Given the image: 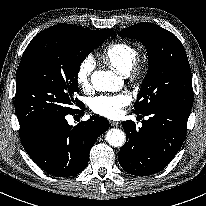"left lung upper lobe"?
<instances>
[{"mask_svg": "<svg viewBox=\"0 0 206 206\" xmlns=\"http://www.w3.org/2000/svg\"><path fill=\"white\" fill-rule=\"evenodd\" d=\"M119 36L138 38L147 48L149 69L134 104L145 114L157 105L192 108L193 88L189 61L180 40L153 23H138Z\"/></svg>", "mask_w": 206, "mask_h": 206, "instance_id": "left-lung-upper-lobe-1", "label": "left lung upper lobe"}]
</instances>
